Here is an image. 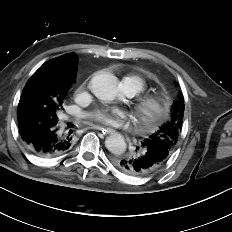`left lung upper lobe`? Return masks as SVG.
<instances>
[{"label":"left lung upper lobe","mask_w":232,"mask_h":232,"mask_svg":"<svg viewBox=\"0 0 232 232\" xmlns=\"http://www.w3.org/2000/svg\"><path fill=\"white\" fill-rule=\"evenodd\" d=\"M184 98L182 92L173 101L170 119L154 134L145 138L141 144L157 147L170 155L174 150L181 132L184 118Z\"/></svg>","instance_id":"left-lung-upper-lobe-1"}]
</instances>
